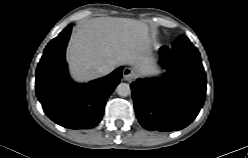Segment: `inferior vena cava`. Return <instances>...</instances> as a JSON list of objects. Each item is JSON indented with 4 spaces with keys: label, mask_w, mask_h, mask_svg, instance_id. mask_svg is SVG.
I'll list each match as a JSON object with an SVG mask.
<instances>
[{
    "label": "inferior vena cava",
    "mask_w": 248,
    "mask_h": 158,
    "mask_svg": "<svg viewBox=\"0 0 248 158\" xmlns=\"http://www.w3.org/2000/svg\"><path fill=\"white\" fill-rule=\"evenodd\" d=\"M112 71H113V68L108 66V65L100 66L99 69H98V72H99L100 75H107Z\"/></svg>",
    "instance_id": "602c4592"
}]
</instances>
